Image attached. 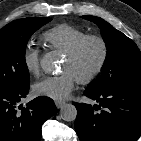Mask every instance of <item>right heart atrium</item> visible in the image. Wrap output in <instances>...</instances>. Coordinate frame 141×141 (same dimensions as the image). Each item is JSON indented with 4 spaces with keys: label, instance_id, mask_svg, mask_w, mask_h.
I'll use <instances>...</instances> for the list:
<instances>
[{
    "label": "right heart atrium",
    "instance_id": "d8ad5b80",
    "mask_svg": "<svg viewBox=\"0 0 141 141\" xmlns=\"http://www.w3.org/2000/svg\"><path fill=\"white\" fill-rule=\"evenodd\" d=\"M22 62L26 71L31 75H38L40 72V51L28 44L22 54Z\"/></svg>",
    "mask_w": 141,
    "mask_h": 141
}]
</instances>
